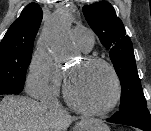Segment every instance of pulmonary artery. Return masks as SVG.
Here are the masks:
<instances>
[{
    "label": "pulmonary artery",
    "instance_id": "1",
    "mask_svg": "<svg viewBox=\"0 0 151 131\" xmlns=\"http://www.w3.org/2000/svg\"><path fill=\"white\" fill-rule=\"evenodd\" d=\"M73 37L77 45L84 51H89L94 45V34L91 30L77 27L73 30Z\"/></svg>",
    "mask_w": 151,
    "mask_h": 131
}]
</instances>
